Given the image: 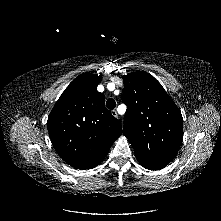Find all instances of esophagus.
Segmentation results:
<instances>
[{
  "label": "esophagus",
  "mask_w": 221,
  "mask_h": 221,
  "mask_svg": "<svg viewBox=\"0 0 221 221\" xmlns=\"http://www.w3.org/2000/svg\"><path fill=\"white\" fill-rule=\"evenodd\" d=\"M111 114H112L114 117L118 118V114H117V111H116V110H112V111H111Z\"/></svg>",
  "instance_id": "esophagus-1"
}]
</instances>
